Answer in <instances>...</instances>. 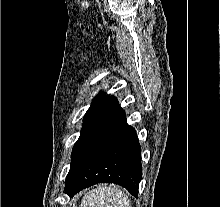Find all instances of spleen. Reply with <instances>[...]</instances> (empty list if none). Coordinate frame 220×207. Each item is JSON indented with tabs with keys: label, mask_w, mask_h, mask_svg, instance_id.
Returning a JSON list of instances; mask_svg holds the SVG:
<instances>
[{
	"label": "spleen",
	"mask_w": 220,
	"mask_h": 207,
	"mask_svg": "<svg viewBox=\"0 0 220 207\" xmlns=\"http://www.w3.org/2000/svg\"><path fill=\"white\" fill-rule=\"evenodd\" d=\"M80 207H131L122 190L114 186H97L85 193Z\"/></svg>",
	"instance_id": "1"
}]
</instances>
